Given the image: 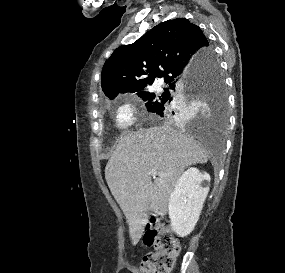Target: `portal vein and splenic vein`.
Wrapping results in <instances>:
<instances>
[{"label":"portal vein and splenic vein","mask_w":285,"mask_h":273,"mask_svg":"<svg viewBox=\"0 0 285 273\" xmlns=\"http://www.w3.org/2000/svg\"><path fill=\"white\" fill-rule=\"evenodd\" d=\"M150 175H152L153 177H155V176H162L163 174H161V173H158L157 171H152V172H150L149 173Z\"/></svg>","instance_id":"18ae733b"}]
</instances>
